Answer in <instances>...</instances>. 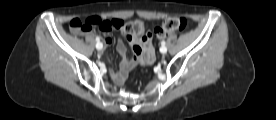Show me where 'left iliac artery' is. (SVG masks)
Returning a JSON list of instances; mask_svg holds the SVG:
<instances>
[{
  "mask_svg": "<svg viewBox=\"0 0 276 120\" xmlns=\"http://www.w3.org/2000/svg\"><path fill=\"white\" fill-rule=\"evenodd\" d=\"M165 44H166L165 41H162V42H161V45H162V46H165Z\"/></svg>",
  "mask_w": 276,
  "mask_h": 120,
  "instance_id": "obj_1",
  "label": "left iliac artery"
}]
</instances>
